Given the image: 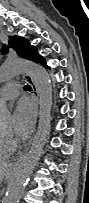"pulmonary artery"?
I'll return each instance as SVG.
<instances>
[{
    "label": "pulmonary artery",
    "instance_id": "obj_1",
    "mask_svg": "<svg viewBox=\"0 0 89 203\" xmlns=\"http://www.w3.org/2000/svg\"><path fill=\"white\" fill-rule=\"evenodd\" d=\"M19 95V86L16 83L7 84L1 91V102L16 98Z\"/></svg>",
    "mask_w": 89,
    "mask_h": 203
}]
</instances>
